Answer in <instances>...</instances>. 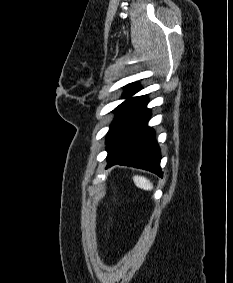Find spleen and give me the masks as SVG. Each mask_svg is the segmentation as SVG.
<instances>
[{
    "label": "spleen",
    "instance_id": "obj_1",
    "mask_svg": "<svg viewBox=\"0 0 233 283\" xmlns=\"http://www.w3.org/2000/svg\"><path fill=\"white\" fill-rule=\"evenodd\" d=\"M133 181L138 188H141V189H144V190H152L153 189L152 183L148 179H146L145 177L134 176Z\"/></svg>",
    "mask_w": 233,
    "mask_h": 283
}]
</instances>
